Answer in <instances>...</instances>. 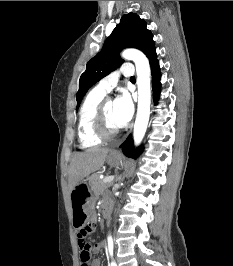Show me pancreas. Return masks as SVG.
Instances as JSON below:
<instances>
[{
	"label": "pancreas",
	"instance_id": "cf45deb5",
	"mask_svg": "<svg viewBox=\"0 0 233 266\" xmlns=\"http://www.w3.org/2000/svg\"><path fill=\"white\" fill-rule=\"evenodd\" d=\"M104 179L99 178V174H94L90 179V187L95 195H100L103 191L112 185V183H104Z\"/></svg>",
	"mask_w": 233,
	"mask_h": 266
}]
</instances>
